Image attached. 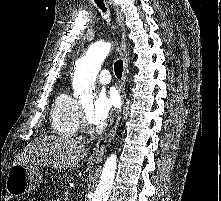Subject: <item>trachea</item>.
<instances>
[{
	"label": "trachea",
	"instance_id": "obj_1",
	"mask_svg": "<svg viewBox=\"0 0 221 201\" xmlns=\"http://www.w3.org/2000/svg\"><path fill=\"white\" fill-rule=\"evenodd\" d=\"M95 3L98 5V7L103 11L106 12V7L103 2V0H94ZM114 70L115 74L118 78L122 77V72H123V61L122 60H117L114 64Z\"/></svg>",
	"mask_w": 221,
	"mask_h": 201
}]
</instances>
